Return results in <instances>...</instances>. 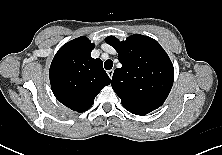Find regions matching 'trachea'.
<instances>
[{
  "label": "trachea",
  "instance_id": "trachea-1",
  "mask_svg": "<svg viewBox=\"0 0 222 155\" xmlns=\"http://www.w3.org/2000/svg\"><path fill=\"white\" fill-rule=\"evenodd\" d=\"M112 67H113L112 60H110V59L106 60L105 63H104V68L106 70H110V69H112Z\"/></svg>",
  "mask_w": 222,
  "mask_h": 155
}]
</instances>
